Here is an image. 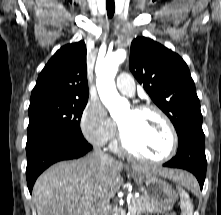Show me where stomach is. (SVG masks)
Returning <instances> with one entry per match:
<instances>
[{"mask_svg": "<svg viewBox=\"0 0 221 215\" xmlns=\"http://www.w3.org/2000/svg\"><path fill=\"white\" fill-rule=\"evenodd\" d=\"M144 198L158 209H170L177 201V193L171 185L162 180L155 174H139L134 171L130 172Z\"/></svg>", "mask_w": 221, "mask_h": 215, "instance_id": "0dacf381", "label": "stomach"}]
</instances>
